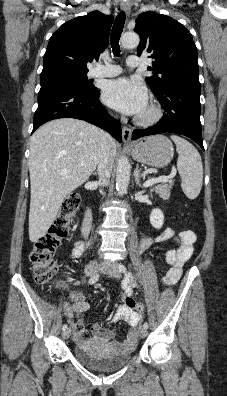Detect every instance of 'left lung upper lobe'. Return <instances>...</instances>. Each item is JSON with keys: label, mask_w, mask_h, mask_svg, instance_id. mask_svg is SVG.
Wrapping results in <instances>:
<instances>
[{"label": "left lung upper lobe", "mask_w": 227, "mask_h": 396, "mask_svg": "<svg viewBox=\"0 0 227 396\" xmlns=\"http://www.w3.org/2000/svg\"><path fill=\"white\" fill-rule=\"evenodd\" d=\"M140 36L138 56L151 53L154 75L146 77L155 95L172 86H200L197 48L190 32L173 18L149 11L139 15L134 29ZM156 72V73H155Z\"/></svg>", "instance_id": "left-lung-upper-lobe-1"}]
</instances>
